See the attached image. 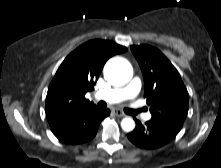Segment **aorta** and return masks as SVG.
Returning <instances> with one entry per match:
<instances>
[{"label":"aorta","mask_w":221,"mask_h":168,"mask_svg":"<svg viewBox=\"0 0 221 168\" xmlns=\"http://www.w3.org/2000/svg\"><path fill=\"white\" fill-rule=\"evenodd\" d=\"M133 76L131 64L122 57L111 58L104 67V77L116 86L127 84ZM121 127L126 132H131L135 128V122L130 117H125L121 121Z\"/></svg>","instance_id":"aorta-1"}]
</instances>
